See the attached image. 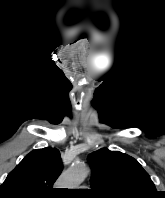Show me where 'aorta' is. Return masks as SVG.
<instances>
[{
	"instance_id": "obj_1",
	"label": "aorta",
	"mask_w": 165,
	"mask_h": 198,
	"mask_svg": "<svg viewBox=\"0 0 165 198\" xmlns=\"http://www.w3.org/2000/svg\"><path fill=\"white\" fill-rule=\"evenodd\" d=\"M89 169L82 163H73L58 181L59 188L74 189L78 187L88 176Z\"/></svg>"
}]
</instances>
